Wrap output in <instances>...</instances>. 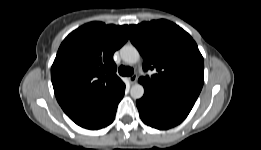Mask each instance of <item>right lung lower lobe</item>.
<instances>
[{"label": "right lung lower lobe", "mask_w": 261, "mask_h": 150, "mask_svg": "<svg viewBox=\"0 0 261 150\" xmlns=\"http://www.w3.org/2000/svg\"><path fill=\"white\" fill-rule=\"evenodd\" d=\"M122 97H120L110 106H108L100 114H98L95 117L91 118L90 120L80 124V126L83 128H86V129H100V128L106 127L107 125L112 123V121L115 118V113L117 110L118 103L120 102Z\"/></svg>", "instance_id": "1"}]
</instances>
